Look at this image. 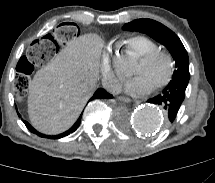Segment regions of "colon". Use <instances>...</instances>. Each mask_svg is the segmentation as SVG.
<instances>
[{
    "label": "colon",
    "instance_id": "obj_1",
    "mask_svg": "<svg viewBox=\"0 0 215 183\" xmlns=\"http://www.w3.org/2000/svg\"><path fill=\"white\" fill-rule=\"evenodd\" d=\"M83 35V27L76 20L59 24L52 34L35 40L26 52V56L17 64L18 76L14 82L15 91L21 96L30 95L35 89L31 78L38 71V65L48 62L62 49V45L75 43Z\"/></svg>",
    "mask_w": 215,
    "mask_h": 183
}]
</instances>
